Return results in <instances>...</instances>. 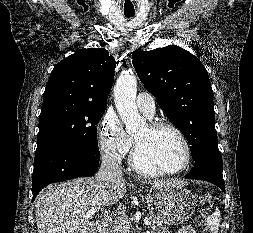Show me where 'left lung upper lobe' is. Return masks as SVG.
<instances>
[{
	"label": "left lung upper lobe",
	"mask_w": 253,
	"mask_h": 233,
	"mask_svg": "<svg viewBox=\"0 0 253 233\" xmlns=\"http://www.w3.org/2000/svg\"><path fill=\"white\" fill-rule=\"evenodd\" d=\"M132 59L145 88L188 140L193 160L207 155L221 158L213 90L202 62L176 45L136 50Z\"/></svg>",
	"instance_id": "obj_1"
}]
</instances>
